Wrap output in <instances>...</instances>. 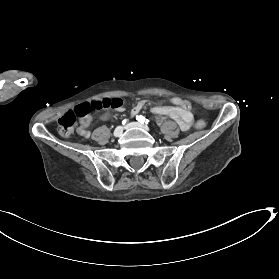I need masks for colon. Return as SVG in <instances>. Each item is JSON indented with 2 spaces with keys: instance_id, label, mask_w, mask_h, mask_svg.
I'll return each instance as SVG.
<instances>
[{
  "instance_id": "obj_1",
  "label": "colon",
  "mask_w": 279,
  "mask_h": 279,
  "mask_svg": "<svg viewBox=\"0 0 279 279\" xmlns=\"http://www.w3.org/2000/svg\"><path fill=\"white\" fill-rule=\"evenodd\" d=\"M179 100L182 107L188 112L191 114L196 112L197 104L194 101L182 98H179ZM122 105L123 101L121 98H104L88 103H82L59 118L58 130L60 134L65 137L71 136L76 129L77 121L87 117L92 110L117 109ZM205 126L206 122L203 119H198L195 123V127L199 130L204 129Z\"/></svg>"
}]
</instances>
